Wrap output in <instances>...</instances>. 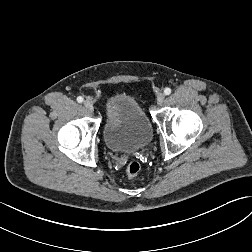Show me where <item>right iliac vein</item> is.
<instances>
[{
    "label": "right iliac vein",
    "instance_id": "obj_1",
    "mask_svg": "<svg viewBox=\"0 0 252 252\" xmlns=\"http://www.w3.org/2000/svg\"><path fill=\"white\" fill-rule=\"evenodd\" d=\"M84 106H85V108H86L89 112H93V111H94V106H93V104H92L91 101L85 100V101H84Z\"/></svg>",
    "mask_w": 252,
    "mask_h": 252
}]
</instances>
